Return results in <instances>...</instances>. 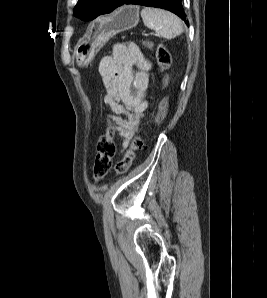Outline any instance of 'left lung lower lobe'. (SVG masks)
Masks as SVG:
<instances>
[{"mask_svg": "<svg viewBox=\"0 0 267 298\" xmlns=\"http://www.w3.org/2000/svg\"><path fill=\"white\" fill-rule=\"evenodd\" d=\"M123 4H138L149 7L163 8L178 15L188 25V21H186V16L184 14V9L181 6V0H116L113 7L107 13L112 12L115 8L122 6Z\"/></svg>", "mask_w": 267, "mask_h": 298, "instance_id": "1", "label": "left lung lower lobe"}]
</instances>
